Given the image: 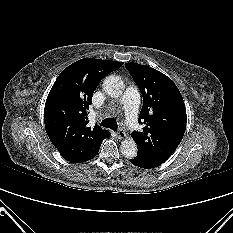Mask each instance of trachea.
<instances>
[{"label": "trachea", "mask_w": 233, "mask_h": 233, "mask_svg": "<svg viewBox=\"0 0 233 233\" xmlns=\"http://www.w3.org/2000/svg\"><path fill=\"white\" fill-rule=\"evenodd\" d=\"M101 126H104L106 128H110L112 130H117L118 125L115 119L113 118H106L101 122Z\"/></svg>", "instance_id": "3493384b"}]
</instances>
